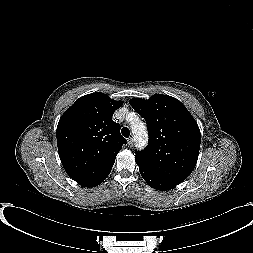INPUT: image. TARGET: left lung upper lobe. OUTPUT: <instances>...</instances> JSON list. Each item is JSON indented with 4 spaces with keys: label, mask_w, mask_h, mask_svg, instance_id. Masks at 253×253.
I'll return each instance as SVG.
<instances>
[{
    "label": "left lung upper lobe",
    "mask_w": 253,
    "mask_h": 253,
    "mask_svg": "<svg viewBox=\"0 0 253 253\" xmlns=\"http://www.w3.org/2000/svg\"><path fill=\"white\" fill-rule=\"evenodd\" d=\"M129 103L146 120L150 135L146 149L136 152L137 165L159 179L180 184L198 159L201 135L196 121L179 100L168 95L133 98Z\"/></svg>",
    "instance_id": "5c2ea615"
}]
</instances>
